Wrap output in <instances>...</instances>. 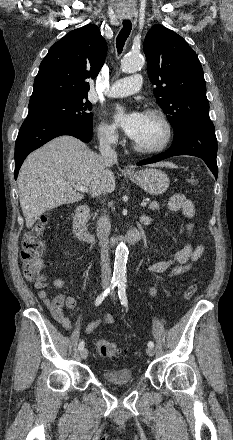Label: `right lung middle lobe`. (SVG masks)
I'll return each instance as SVG.
<instances>
[{"label":"right lung middle lobe","mask_w":233,"mask_h":440,"mask_svg":"<svg viewBox=\"0 0 233 440\" xmlns=\"http://www.w3.org/2000/svg\"><path fill=\"white\" fill-rule=\"evenodd\" d=\"M92 104L87 97L81 98H53L29 104L27 117H49L61 121L72 122L92 133L93 114L89 111Z\"/></svg>","instance_id":"obj_1"}]
</instances>
